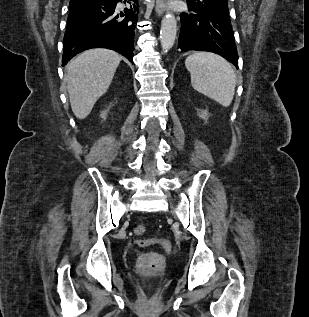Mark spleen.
<instances>
[{
    "instance_id": "1",
    "label": "spleen",
    "mask_w": 309,
    "mask_h": 317,
    "mask_svg": "<svg viewBox=\"0 0 309 317\" xmlns=\"http://www.w3.org/2000/svg\"><path fill=\"white\" fill-rule=\"evenodd\" d=\"M195 90L228 107L235 93V72L225 59L207 52H197L186 58Z\"/></svg>"
}]
</instances>
